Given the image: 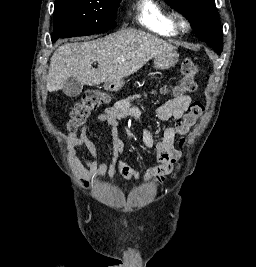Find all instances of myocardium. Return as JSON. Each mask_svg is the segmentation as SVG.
<instances>
[{
  "label": "myocardium",
  "instance_id": "obj_1",
  "mask_svg": "<svg viewBox=\"0 0 256 267\" xmlns=\"http://www.w3.org/2000/svg\"><path fill=\"white\" fill-rule=\"evenodd\" d=\"M174 20H175L176 27L179 30L185 32L189 29L190 27L189 19L187 15L181 9H178L176 11Z\"/></svg>",
  "mask_w": 256,
  "mask_h": 267
}]
</instances>
